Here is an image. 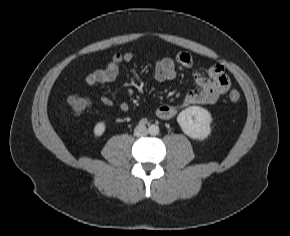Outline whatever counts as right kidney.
<instances>
[{
    "label": "right kidney",
    "instance_id": "right-kidney-1",
    "mask_svg": "<svg viewBox=\"0 0 290 236\" xmlns=\"http://www.w3.org/2000/svg\"><path fill=\"white\" fill-rule=\"evenodd\" d=\"M105 123L104 122H98L94 127V134L95 136L99 137L101 136L105 131Z\"/></svg>",
    "mask_w": 290,
    "mask_h": 236
}]
</instances>
